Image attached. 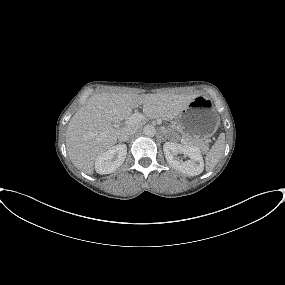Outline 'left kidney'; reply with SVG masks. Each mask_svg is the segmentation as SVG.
Returning <instances> with one entry per match:
<instances>
[{"label": "left kidney", "mask_w": 285, "mask_h": 285, "mask_svg": "<svg viewBox=\"0 0 285 285\" xmlns=\"http://www.w3.org/2000/svg\"><path fill=\"white\" fill-rule=\"evenodd\" d=\"M163 151L169 165L179 172L189 176H195L202 173L204 169V161L198 147L190 144L182 145L176 142H166L163 145ZM178 154H184L190 159L187 161H181L177 157Z\"/></svg>", "instance_id": "left-kidney-1"}]
</instances>
